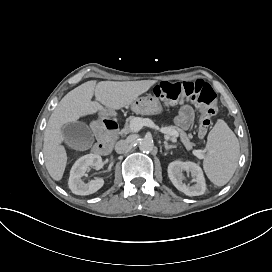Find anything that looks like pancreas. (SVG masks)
I'll return each mask as SVG.
<instances>
[{"instance_id": "obj_1", "label": "pancreas", "mask_w": 272, "mask_h": 272, "mask_svg": "<svg viewBox=\"0 0 272 272\" xmlns=\"http://www.w3.org/2000/svg\"><path fill=\"white\" fill-rule=\"evenodd\" d=\"M135 117L130 116L129 118L126 119V123L124 128L120 131V134H128L130 133L132 130L130 128V122L134 119ZM168 128L172 129V130H176L180 136L181 142L184 144L185 148L187 150H191L192 147L194 146V143H191L186 132L184 130H182L181 128L177 127V126H168Z\"/></svg>"}]
</instances>
